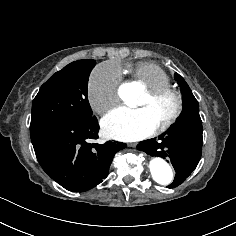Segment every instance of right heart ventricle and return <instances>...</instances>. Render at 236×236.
<instances>
[{"label":"right heart ventricle","mask_w":236,"mask_h":236,"mask_svg":"<svg viewBox=\"0 0 236 236\" xmlns=\"http://www.w3.org/2000/svg\"><path fill=\"white\" fill-rule=\"evenodd\" d=\"M133 82L140 84L146 91L169 86L171 78L160 66L151 63L128 65L125 70Z\"/></svg>","instance_id":"1"}]
</instances>
